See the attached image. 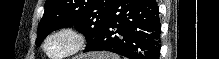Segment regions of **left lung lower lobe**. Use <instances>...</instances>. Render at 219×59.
<instances>
[{"label":"left lung lower lobe","mask_w":219,"mask_h":59,"mask_svg":"<svg viewBox=\"0 0 219 59\" xmlns=\"http://www.w3.org/2000/svg\"><path fill=\"white\" fill-rule=\"evenodd\" d=\"M160 29L155 0H114L100 35L84 52L110 51L129 59H159Z\"/></svg>","instance_id":"left-lung-lower-lobe-1"}]
</instances>
